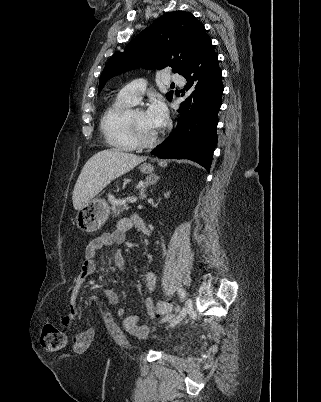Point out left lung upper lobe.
<instances>
[{
  "mask_svg": "<svg viewBox=\"0 0 321 402\" xmlns=\"http://www.w3.org/2000/svg\"><path fill=\"white\" fill-rule=\"evenodd\" d=\"M209 39L204 25L191 13H167L136 36L124 51L110 58L101 74L98 93L110 78L139 66L171 67L181 75ZM166 97L171 100L172 93Z\"/></svg>",
  "mask_w": 321,
  "mask_h": 402,
  "instance_id": "left-lung-upper-lobe-1",
  "label": "left lung upper lobe"
}]
</instances>
